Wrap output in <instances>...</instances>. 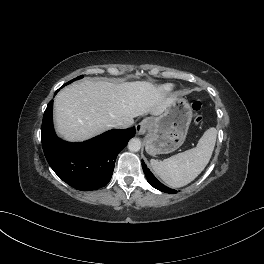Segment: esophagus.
I'll list each match as a JSON object with an SVG mask.
<instances>
[{"label": "esophagus", "mask_w": 264, "mask_h": 264, "mask_svg": "<svg viewBox=\"0 0 264 264\" xmlns=\"http://www.w3.org/2000/svg\"><path fill=\"white\" fill-rule=\"evenodd\" d=\"M151 121L148 118L143 119L140 123L136 125V131L138 134H144L149 128Z\"/></svg>", "instance_id": "obj_1"}]
</instances>
